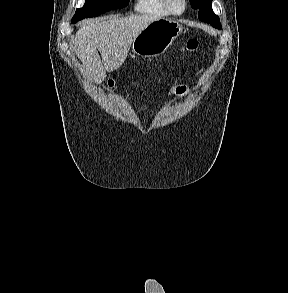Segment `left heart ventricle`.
Returning <instances> with one entry per match:
<instances>
[{
	"label": "left heart ventricle",
	"mask_w": 288,
	"mask_h": 293,
	"mask_svg": "<svg viewBox=\"0 0 288 293\" xmlns=\"http://www.w3.org/2000/svg\"><path fill=\"white\" fill-rule=\"evenodd\" d=\"M170 3L176 11H180L183 8L182 0H170Z\"/></svg>",
	"instance_id": "1"
}]
</instances>
